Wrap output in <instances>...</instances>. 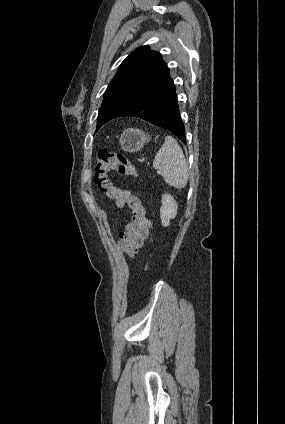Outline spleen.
<instances>
[{
	"label": "spleen",
	"instance_id": "1",
	"mask_svg": "<svg viewBox=\"0 0 285 424\" xmlns=\"http://www.w3.org/2000/svg\"><path fill=\"white\" fill-rule=\"evenodd\" d=\"M153 167L159 170L166 183L182 189L188 182V163L178 142L166 136L164 144L157 152Z\"/></svg>",
	"mask_w": 285,
	"mask_h": 424
}]
</instances>
